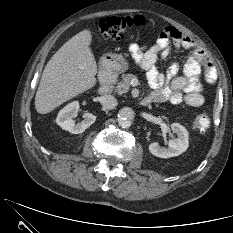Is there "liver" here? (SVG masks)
Returning a JSON list of instances; mask_svg holds the SVG:
<instances>
[{
	"instance_id": "1",
	"label": "liver",
	"mask_w": 233,
	"mask_h": 233,
	"mask_svg": "<svg viewBox=\"0 0 233 233\" xmlns=\"http://www.w3.org/2000/svg\"><path fill=\"white\" fill-rule=\"evenodd\" d=\"M90 30L69 39L48 61L35 96V109L47 114L96 84L97 64Z\"/></svg>"
}]
</instances>
